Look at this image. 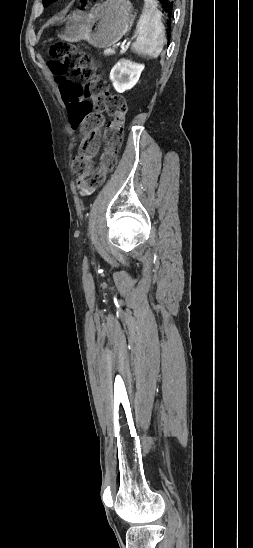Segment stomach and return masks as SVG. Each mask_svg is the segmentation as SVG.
I'll list each match as a JSON object with an SVG mask.
<instances>
[{"instance_id": "1", "label": "stomach", "mask_w": 253, "mask_h": 548, "mask_svg": "<svg viewBox=\"0 0 253 548\" xmlns=\"http://www.w3.org/2000/svg\"><path fill=\"white\" fill-rule=\"evenodd\" d=\"M133 21V7L128 0H107L90 13L76 11L65 18L60 35L63 40H87L106 49L117 43Z\"/></svg>"}]
</instances>
